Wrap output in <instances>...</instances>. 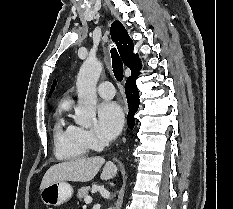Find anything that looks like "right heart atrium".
<instances>
[{
	"label": "right heart atrium",
	"mask_w": 233,
	"mask_h": 209,
	"mask_svg": "<svg viewBox=\"0 0 233 209\" xmlns=\"http://www.w3.org/2000/svg\"><path fill=\"white\" fill-rule=\"evenodd\" d=\"M76 131L79 141L88 149L99 150L105 145V143L91 129L76 127Z\"/></svg>",
	"instance_id": "right-heart-atrium-1"
}]
</instances>
